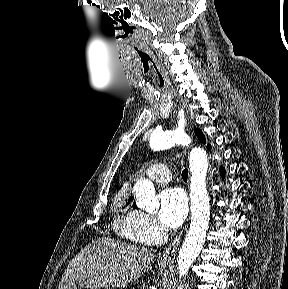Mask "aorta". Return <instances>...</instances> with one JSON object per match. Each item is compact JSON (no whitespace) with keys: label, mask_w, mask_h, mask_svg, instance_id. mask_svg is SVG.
Instances as JSON below:
<instances>
[{"label":"aorta","mask_w":288,"mask_h":289,"mask_svg":"<svg viewBox=\"0 0 288 289\" xmlns=\"http://www.w3.org/2000/svg\"><path fill=\"white\" fill-rule=\"evenodd\" d=\"M150 147L154 151L170 148L175 145L188 143L187 136L180 129L174 131L154 132L150 137ZM189 166L190 179V202L191 222L178 255L179 278L184 277L198 257L207 234L210 220L209 196L206 188V175L208 158L201 148H194L190 152ZM133 192L137 207L148 212L159 208V201L155 195V188L151 181L142 179L136 182ZM177 289H183L179 285Z\"/></svg>","instance_id":"obj_1"}]
</instances>
